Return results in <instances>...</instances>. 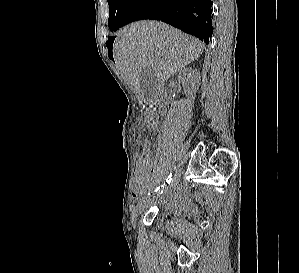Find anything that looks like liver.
<instances>
[{"instance_id":"1","label":"liver","mask_w":299,"mask_h":273,"mask_svg":"<svg viewBox=\"0 0 299 273\" xmlns=\"http://www.w3.org/2000/svg\"><path fill=\"white\" fill-rule=\"evenodd\" d=\"M204 44L156 21H138L120 30L113 45L115 63L138 99L144 98L141 72L155 75L154 94L163 83L203 52Z\"/></svg>"}]
</instances>
